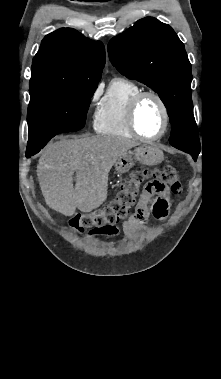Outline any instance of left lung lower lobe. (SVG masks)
<instances>
[{"label":"left lung lower lobe","instance_id":"obj_1","mask_svg":"<svg viewBox=\"0 0 221 379\" xmlns=\"http://www.w3.org/2000/svg\"><path fill=\"white\" fill-rule=\"evenodd\" d=\"M193 159L196 161L197 157H195V158H193Z\"/></svg>","mask_w":221,"mask_h":379}]
</instances>
